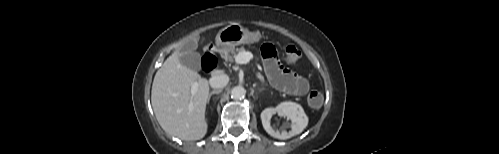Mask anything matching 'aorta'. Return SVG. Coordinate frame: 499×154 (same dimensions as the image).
I'll use <instances>...</instances> for the list:
<instances>
[{"mask_svg": "<svg viewBox=\"0 0 499 154\" xmlns=\"http://www.w3.org/2000/svg\"><path fill=\"white\" fill-rule=\"evenodd\" d=\"M246 95V90L242 86H235L231 91V97L235 100L244 98Z\"/></svg>", "mask_w": 499, "mask_h": 154, "instance_id": "762f6f07", "label": "aorta"}]
</instances>
